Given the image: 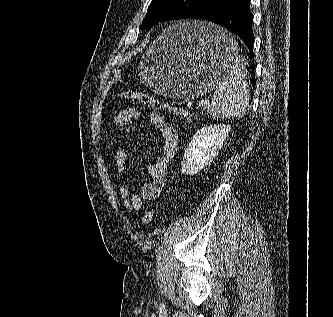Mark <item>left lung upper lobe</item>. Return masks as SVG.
Instances as JSON below:
<instances>
[{
	"label": "left lung upper lobe",
	"mask_w": 333,
	"mask_h": 317,
	"mask_svg": "<svg viewBox=\"0 0 333 317\" xmlns=\"http://www.w3.org/2000/svg\"><path fill=\"white\" fill-rule=\"evenodd\" d=\"M213 0H152L141 29L149 28L161 21L186 19L193 11Z\"/></svg>",
	"instance_id": "left-lung-upper-lobe-1"
}]
</instances>
